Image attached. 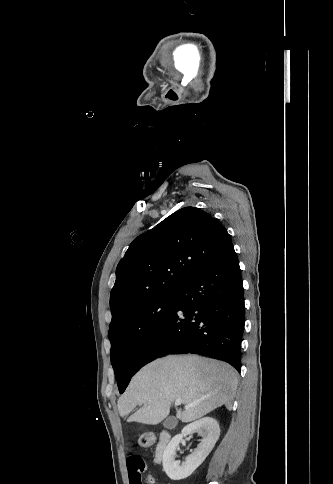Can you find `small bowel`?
<instances>
[{
    "label": "small bowel",
    "instance_id": "c3829d8e",
    "mask_svg": "<svg viewBox=\"0 0 333 484\" xmlns=\"http://www.w3.org/2000/svg\"><path fill=\"white\" fill-rule=\"evenodd\" d=\"M126 462L130 484H142L141 475L146 470L143 458L137 454H131L127 457Z\"/></svg>",
    "mask_w": 333,
    "mask_h": 484
}]
</instances>
